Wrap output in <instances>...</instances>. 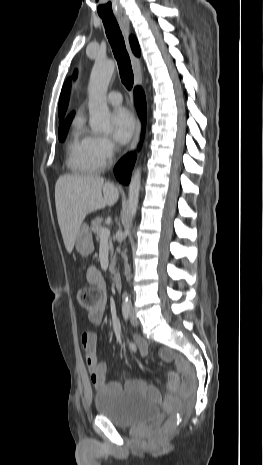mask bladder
Returning <instances> with one entry per match:
<instances>
[{
    "label": "bladder",
    "mask_w": 263,
    "mask_h": 465,
    "mask_svg": "<svg viewBox=\"0 0 263 465\" xmlns=\"http://www.w3.org/2000/svg\"><path fill=\"white\" fill-rule=\"evenodd\" d=\"M99 415L118 427H131L148 422L158 414L155 402L144 394L107 387L94 396Z\"/></svg>",
    "instance_id": "bladder-1"
}]
</instances>
